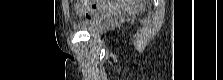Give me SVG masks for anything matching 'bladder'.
I'll list each match as a JSON object with an SVG mask.
<instances>
[{"mask_svg": "<svg viewBox=\"0 0 223 80\" xmlns=\"http://www.w3.org/2000/svg\"><path fill=\"white\" fill-rule=\"evenodd\" d=\"M110 20L111 18L109 15L93 16L75 24V28L83 32L95 34L104 30L108 26Z\"/></svg>", "mask_w": 223, "mask_h": 80, "instance_id": "bladder-1", "label": "bladder"}]
</instances>
